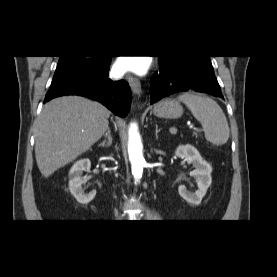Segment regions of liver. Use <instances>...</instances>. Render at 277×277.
I'll return each instance as SVG.
<instances>
[{"label":"liver","instance_id":"obj_1","mask_svg":"<svg viewBox=\"0 0 277 277\" xmlns=\"http://www.w3.org/2000/svg\"><path fill=\"white\" fill-rule=\"evenodd\" d=\"M109 110L78 96L51 100L43 107L35 132V157L44 177L75 160L108 129Z\"/></svg>","mask_w":277,"mask_h":277}]
</instances>
